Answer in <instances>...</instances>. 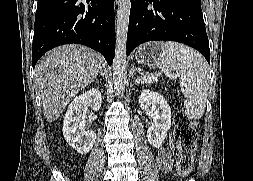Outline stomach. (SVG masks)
<instances>
[{
  "label": "stomach",
  "mask_w": 253,
  "mask_h": 181,
  "mask_svg": "<svg viewBox=\"0 0 253 181\" xmlns=\"http://www.w3.org/2000/svg\"><path fill=\"white\" fill-rule=\"evenodd\" d=\"M160 54V42H150L137 49L135 58L138 63L148 65L149 67H156L162 60Z\"/></svg>",
  "instance_id": "1"
}]
</instances>
